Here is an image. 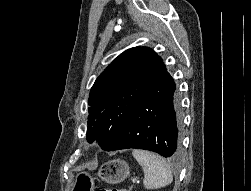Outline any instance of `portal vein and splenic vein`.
<instances>
[{
    "mask_svg": "<svg viewBox=\"0 0 251 191\" xmlns=\"http://www.w3.org/2000/svg\"><path fill=\"white\" fill-rule=\"evenodd\" d=\"M131 183H132V184H135V183H136V179H132V180H131Z\"/></svg>",
    "mask_w": 251,
    "mask_h": 191,
    "instance_id": "obj_1",
    "label": "portal vein and splenic vein"
}]
</instances>
